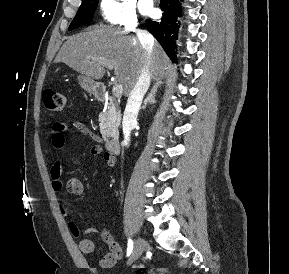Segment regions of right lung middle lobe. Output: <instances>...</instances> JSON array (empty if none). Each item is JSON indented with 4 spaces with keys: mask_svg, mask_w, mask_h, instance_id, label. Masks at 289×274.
<instances>
[{
    "mask_svg": "<svg viewBox=\"0 0 289 274\" xmlns=\"http://www.w3.org/2000/svg\"><path fill=\"white\" fill-rule=\"evenodd\" d=\"M97 4L98 0H83L81 7L69 26V30L91 22Z\"/></svg>",
    "mask_w": 289,
    "mask_h": 274,
    "instance_id": "obj_1",
    "label": "right lung middle lobe"
}]
</instances>
